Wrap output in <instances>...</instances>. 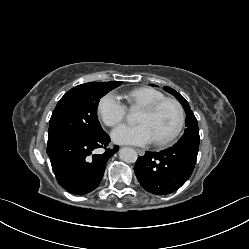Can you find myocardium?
Returning <instances> with one entry per match:
<instances>
[{"instance_id":"f54148a6","label":"myocardium","mask_w":249,"mask_h":249,"mask_svg":"<svg viewBox=\"0 0 249 249\" xmlns=\"http://www.w3.org/2000/svg\"><path fill=\"white\" fill-rule=\"evenodd\" d=\"M167 102L173 103L177 107L178 113H179V120H178V124H177L176 128L173 130V132L170 135H168L164 139L155 141V144L159 147H165V146L172 144L178 138L180 133L182 132L184 125H185V119H186L184 107L177 99L171 98V97H164V98L158 99L156 101H153L149 104H146L140 108L141 110H144L148 113H153L161 105H163L164 103H167Z\"/></svg>"}]
</instances>
